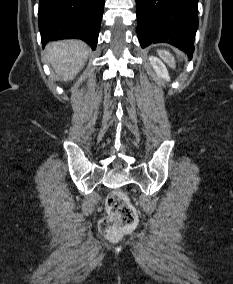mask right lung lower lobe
<instances>
[{"label": "right lung lower lobe", "instance_id": "right-lung-lower-lobe-1", "mask_svg": "<svg viewBox=\"0 0 233 284\" xmlns=\"http://www.w3.org/2000/svg\"><path fill=\"white\" fill-rule=\"evenodd\" d=\"M104 0H39V29L43 46L58 39H81L94 50Z\"/></svg>", "mask_w": 233, "mask_h": 284}]
</instances>
